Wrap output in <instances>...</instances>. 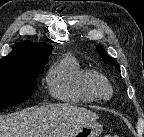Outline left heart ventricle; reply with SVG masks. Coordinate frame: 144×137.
Instances as JSON below:
<instances>
[{
  "mask_svg": "<svg viewBox=\"0 0 144 137\" xmlns=\"http://www.w3.org/2000/svg\"><path fill=\"white\" fill-rule=\"evenodd\" d=\"M104 93H105V94H108V90H107V89H105V90H104Z\"/></svg>",
  "mask_w": 144,
  "mask_h": 137,
  "instance_id": "1",
  "label": "left heart ventricle"
}]
</instances>
